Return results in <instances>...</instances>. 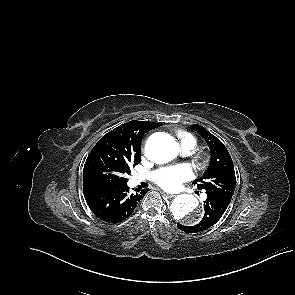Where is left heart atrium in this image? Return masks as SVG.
<instances>
[{
    "label": "left heart atrium",
    "mask_w": 295,
    "mask_h": 295,
    "mask_svg": "<svg viewBox=\"0 0 295 295\" xmlns=\"http://www.w3.org/2000/svg\"><path fill=\"white\" fill-rule=\"evenodd\" d=\"M193 176L192 170L186 164H179L161 168L154 173V181L163 189L174 191L180 188L183 182Z\"/></svg>",
    "instance_id": "1"
}]
</instances>
